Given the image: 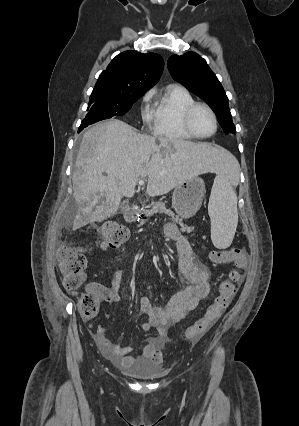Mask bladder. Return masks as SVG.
Wrapping results in <instances>:
<instances>
[{"label":"bladder","instance_id":"obj_1","mask_svg":"<svg viewBox=\"0 0 299 426\" xmlns=\"http://www.w3.org/2000/svg\"><path fill=\"white\" fill-rule=\"evenodd\" d=\"M126 374L140 380H155L165 375V369L159 365L141 364L124 368Z\"/></svg>","mask_w":299,"mask_h":426}]
</instances>
